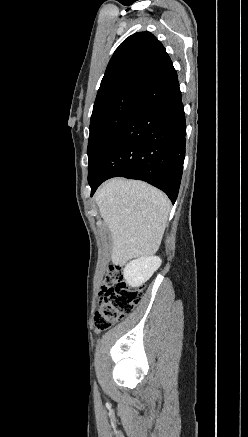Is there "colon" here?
I'll list each match as a JSON object with an SVG mask.
<instances>
[{
    "label": "colon",
    "mask_w": 248,
    "mask_h": 437,
    "mask_svg": "<svg viewBox=\"0 0 248 437\" xmlns=\"http://www.w3.org/2000/svg\"><path fill=\"white\" fill-rule=\"evenodd\" d=\"M141 288H130L120 264L110 266L99 294V305L94 322L99 329H108L132 312L142 299Z\"/></svg>",
    "instance_id": "colon-1"
}]
</instances>
